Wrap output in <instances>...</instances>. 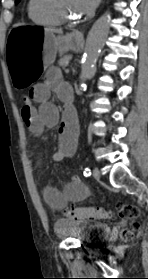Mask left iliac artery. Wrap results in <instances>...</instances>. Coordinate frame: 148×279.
<instances>
[{
	"mask_svg": "<svg viewBox=\"0 0 148 279\" xmlns=\"http://www.w3.org/2000/svg\"><path fill=\"white\" fill-rule=\"evenodd\" d=\"M85 177H89L91 175V170L89 167H86L83 172Z\"/></svg>",
	"mask_w": 148,
	"mask_h": 279,
	"instance_id": "left-iliac-artery-1",
	"label": "left iliac artery"
}]
</instances>
